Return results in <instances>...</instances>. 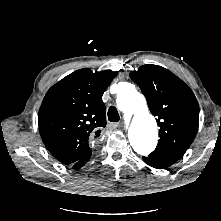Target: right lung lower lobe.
<instances>
[{
  "instance_id": "98d812e1",
  "label": "right lung lower lobe",
  "mask_w": 221,
  "mask_h": 221,
  "mask_svg": "<svg viewBox=\"0 0 221 221\" xmlns=\"http://www.w3.org/2000/svg\"><path fill=\"white\" fill-rule=\"evenodd\" d=\"M91 157V154L87 155L86 157L82 158L81 160H79L78 162H76L75 164H73L72 168L73 169H79L81 168Z\"/></svg>"
}]
</instances>
